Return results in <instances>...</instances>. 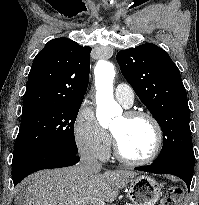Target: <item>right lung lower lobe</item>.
I'll use <instances>...</instances> for the list:
<instances>
[{"instance_id": "obj_1", "label": "right lung lower lobe", "mask_w": 199, "mask_h": 205, "mask_svg": "<svg viewBox=\"0 0 199 205\" xmlns=\"http://www.w3.org/2000/svg\"><path fill=\"white\" fill-rule=\"evenodd\" d=\"M76 154L59 150L45 151L13 165L12 179L14 186L26 176L42 169L72 166L79 162Z\"/></svg>"}]
</instances>
